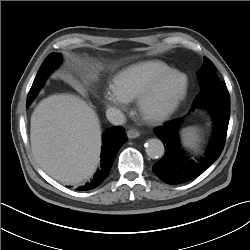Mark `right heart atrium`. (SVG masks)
<instances>
[{
  "instance_id": "1",
  "label": "right heart atrium",
  "mask_w": 250,
  "mask_h": 250,
  "mask_svg": "<svg viewBox=\"0 0 250 250\" xmlns=\"http://www.w3.org/2000/svg\"><path fill=\"white\" fill-rule=\"evenodd\" d=\"M104 102L108 107H112L119 112L127 110L130 100L117 92L112 86H109L103 91Z\"/></svg>"
}]
</instances>
